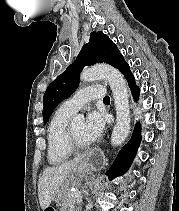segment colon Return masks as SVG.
I'll return each instance as SVG.
<instances>
[{"label": "colon", "mask_w": 179, "mask_h": 211, "mask_svg": "<svg viewBox=\"0 0 179 211\" xmlns=\"http://www.w3.org/2000/svg\"><path fill=\"white\" fill-rule=\"evenodd\" d=\"M44 211H55L52 207H47Z\"/></svg>", "instance_id": "obj_1"}]
</instances>
